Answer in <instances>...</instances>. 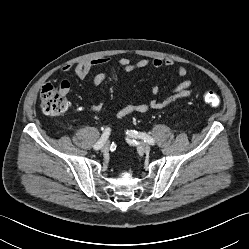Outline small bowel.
<instances>
[{
  "label": "small bowel",
  "mask_w": 249,
  "mask_h": 249,
  "mask_svg": "<svg viewBox=\"0 0 249 249\" xmlns=\"http://www.w3.org/2000/svg\"><path fill=\"white\" fill-rule=\"evenodd\" d=\"M110 61L111 57L101 56L89 60L80 61L75 65L66 64L62 67V70L63 72H69L73 69L75 74L79 78L84 79L90 74L93 69L103 67ZM118 62L122 68V72L126 74L136 70L144 69L149 66H152L153 68L159 70L162 68H171L176 64L172 59H161L158 57L153 59L141 58L135 61L127 57H121L118 59ZM187 74V68L183 64H176V75L177 78L181 81L169 91L167 96L160 97V88L158 85H154L151 88V94L153 98L149 102L127 104L119 108L113 114V119L118 120L132 114L145 113L150 110H161L181 99L191 96L194 93L193 80L191 78H187ZM107 78L108 75L106 72H98L92 77L91 86L98 87L103 84L107 80ZM59 89L64 95H67L70 92V82L68 80L61 81ZM89 108L90 110L95 112L100 111L102 108V103L99 101L93 102L90 104Z\"/></svg>",
  "instance_id": "obj_1"
}]
</instances>
